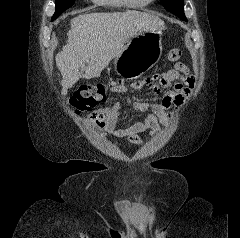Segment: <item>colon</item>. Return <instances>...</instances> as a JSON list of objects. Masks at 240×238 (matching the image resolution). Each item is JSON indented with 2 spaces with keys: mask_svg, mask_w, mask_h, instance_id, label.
<instances>
[{
  "mask_svg": "<svg viewBox=\"0 0 240 238\" xmlns=\"http://www.w3.org/2000/svg\"><path fill=\"white\" fill-rule=\"evenodd\" d=\"M181 51L173 48L168 51L167 59L171 62L179 60ZM107 87L103 84H82L73 93L70 104L73 110L77 113L89 111L95 107L98 101L106 98ZM100 126L104 123L97 120Z\"/></svg>",
  "mask_w": 240,
  "mask_h": 238,
  "instance_id": "colon-1",
  "label": "colon"
}]
</instances>
